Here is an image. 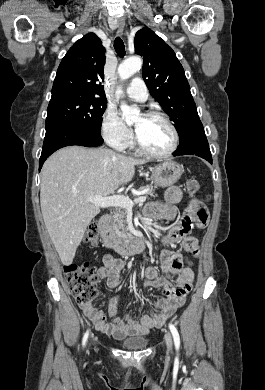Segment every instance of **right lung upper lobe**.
I'll return each mask as SVG.
<instances>
[{"label": "right lung upper lobe", "mask_w": 265, "mask_h": 390, "mask_svg": "<svg viewBox=\"0 0 265 390\" xmlns=\"http://www.w3.org/2000/svg\"><path fill=\"white\" fill-rule=\"evenodd\" d=\"M105 48L89 33L75 42L63 57L52 87L51 100L67 96L106 99L104 87Z\"/></svg>", "instance_id": "right-lung-upper-lobe-1"}]
</instances>
